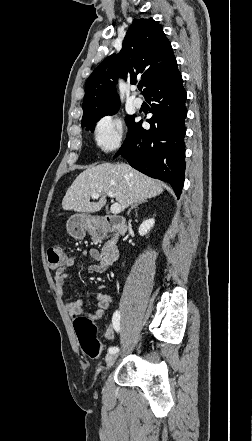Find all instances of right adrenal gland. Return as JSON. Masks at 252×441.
Listing matches in <instances>:
<instances>
[{
	"label": "right adrenal gland",
	"mask_w": 252,
	"mask_h": 441,
	"mask_svg": "<svg viewBox=\"0 0 252 441\" xmlns=\"http://www.w3.org/2000/svg\"><path fill=\"white\" fill-rule=\"evenodd\" d=\"M137 207H138V203L133 204V205L130 207V209L128 210L127 214L129 215L130 212H131V210L134 209V208H137Z\"/></svg>",
	"instance_id": "right-adrenal-gland-1"
}]
</instances>
